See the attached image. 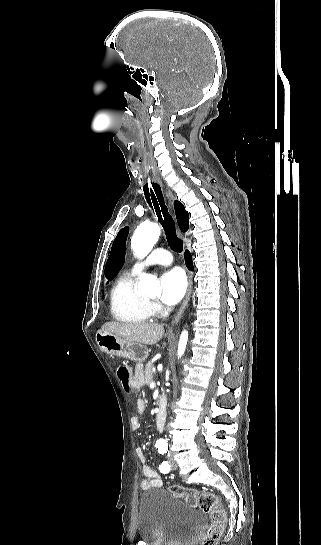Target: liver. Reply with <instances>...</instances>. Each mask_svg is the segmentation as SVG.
<instances>
[{"label":"liver","instance_id":"6515ba94","mask_svg":"<svg viewBox=\"0 0 321 545\" xmlns=\"http://www.w3.org/2000/svg\"><path fill=\"white\" fill-rule=\"evenodd\" d=\"M104 333H112L125 341L143 343V345H155L162 339L165 331L163 325L157 323H105L102 325Z\"/></svg>","mask_w":321,"mask_h":545}]
</instances>
